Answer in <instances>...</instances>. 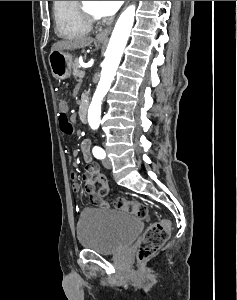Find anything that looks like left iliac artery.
<instances>
[{
	"label": "left iliac artery",
	"instance_id": "44dca946",
	"mask_svg": "<svg viewBox=\"0 0 237 300\" xmlns=\"http://www.w3.org/2000/svg\"><path fill=\"white\" fill-rule=\"evenodd\" d=\"M93 152V155L97 158V159H104L105 156H106V153L105 151L101 148V147H98V146H95L92 150Z\"/></svg>",
	"mask_w": 237,
	"mask_h": 300
}]
</instances>
